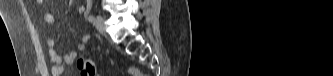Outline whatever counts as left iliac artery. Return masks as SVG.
Returning a JSON list of instances; mask_svg holds the SVG:
<instances>
[{
	"label": "left iliac artery",
	"instance_id": "left-iliac-artery-1",
	"mask_svg": "<svg viewBox=\"0 0 333 76\" xmlns=\"http://www.w3.org/2000/svg\"><path fill=\"white\" fill-rule=\"evenodd\" d=\"M94 16L93 15H90L89 17H88V20L90 21V22H93L94 21Z\"/></svg>",
	"mask_w": 333,
	"mask_h": 76
}]
</instances>
